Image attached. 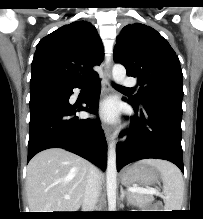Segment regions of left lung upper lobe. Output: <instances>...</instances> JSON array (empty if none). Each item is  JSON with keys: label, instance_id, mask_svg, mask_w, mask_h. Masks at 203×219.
<instances>
[{"label": "left lung upper lobe", "instance_id": "obj_1", "mask_svg": "<svg viewBox=\"0 0 203 219\" xmlns=\"http://www.w3.org/2000/svg\"><path fill=\"white\" fill-rule=\"evenodd\" d=\"M114 60L124 65L128 76L137 77L136 104L150 97L182 100L183 74L179 58L155 29L141 23L122 29L114 47Z\"/></svg>", "mask_w": 203, "mask_h": 219}]
</instances>
